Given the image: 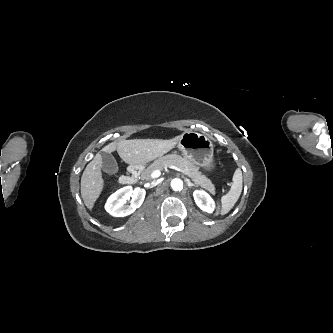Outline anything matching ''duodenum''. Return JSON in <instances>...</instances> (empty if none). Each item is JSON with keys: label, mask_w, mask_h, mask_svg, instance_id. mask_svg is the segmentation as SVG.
Returning <instances> with one entry per match:
<instances>
[{"label": "duodenum", "mask_w": 333, "mask_h": 333, "mask_svg": "<svg viewBox=\"0 0 333 333\" xmlns=\"http://www.w3.org/2000/svg\"><path fill=\"white\" fill-rule=\"evenodd\" d=\"M140 175V169L138 167H131L129 172L122 176L121 182L124 185L134 184Z\"/></svg>", "instance_id": "410a0bca"}]
</instances>
